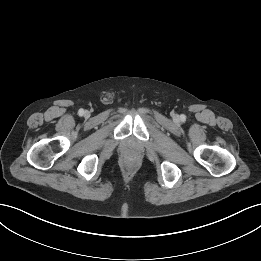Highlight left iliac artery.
<instances>
[{
    "label": "left iliac artery",
    "mask_w": 261,
    "mask_h": 261,
    "mask_svg": "<svg viewBox=\"0 0 261 261\" xmlns=\"http://www.w3.org/2000/svg\"><path fill=\"white\" fill-rule=\"evenodd\" d=\"M181 119H182V120H185V116H184V115H182V116H181Z\"/></svg>",
    "instance_id": "left-iliac-artery-1"
}]
</instances>
